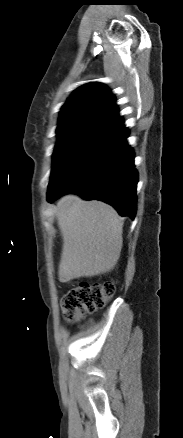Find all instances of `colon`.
Masks as SVG:
<instances>
[{"instance_id": "5ec220e1", "label": "colon", "mask_w": 183, "mask_h": 438, "mask_svg": "<svg viewBox=\"0 0 183 438\" xmlns=\"http://www.w3.org/2000/svg\"><path fill=\"white\" fill-rule=\"evenodd\" d=\"M113 281L104 283L80 282L69 289L62 300V311L68 322H77L85 314L102 308L114 295Z\"/></svg>"}]
</instances>
